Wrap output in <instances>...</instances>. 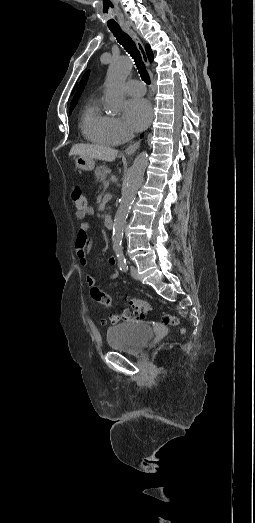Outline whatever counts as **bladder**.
<instances>
[{"label":"bladder","mask_w":255,"mask_h":523,"mask_svg":"<svg viewBox=\"0 0 255 523\" xmlns=\"http://www.w3.org/2000/svg\"><path fill=\"white\" fill-rule=\"evenodd\" d=\"M152 335V329L142 322L126 323L109 328L107 346L112 350L140 353Z\"/></svg>","instance_id":"1"}]
</instances>
